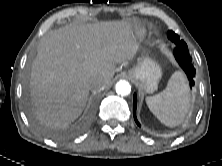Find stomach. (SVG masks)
<instances>
[{"label":"stomach","instance_id":"obj_1","mask_svg":"<svg viewBox=\"0 0 222 166\" xmlns=\"http://www.w3.org/2000/svg\"><path fill=\"white\" fill-rule=\"evenodd\" d=\"M128 75L146 93H153L162 77V70L156 61L149 57H144L140 59L137 66L128 71Z\"/></svg>","mask_w":222,"mask_h":166}]
</instances>
